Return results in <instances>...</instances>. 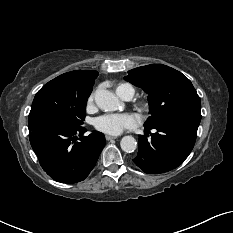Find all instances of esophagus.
<instances>
[{
	"label": "esophagus",
	"instance_id": "esophagus-1",
	"mask_svg": "<svg viewBox=\"0 0 233 233\" xmlns=\"http://www.w3.org/2000/svg\"><path fill=\"white\" fill-rule=\"evenodd\" d=\"M105 138L106 140L111 141V140H115L117 137L106 135Z\"/></svg>",
	"mask_w": 233,
	"mask_h": 233
}]
</instances>
